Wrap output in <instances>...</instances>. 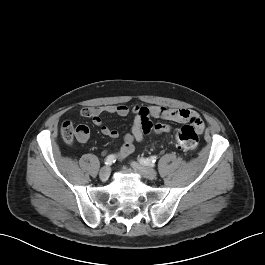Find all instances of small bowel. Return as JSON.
Here are the masks:
<instances>
[{"label": "small bowel", "mask_w": 265, "mask_h": 265, "mask_svg": "<svg viewBox=\"0 0 265 265\" xmlns=\"http://www.w3.org/2000/svg\"><path fill=\"white\" fill-rule=\"evenodd\" d=\"M106 113L110 115L127 116L134 115V123L129 132L124 136V142L116 153L118 159H124L131 155L134 150L135 142L143 141L144 137L154 132L156 134H165L170 132V127L167 124L153 125L151 119L162 118L165 120L175 122H190L198 131L202 132L205 124L199 114L188 108H165V107H139L135 106L130 109L126 105H107V106H94L85 107L81 109L80 114L82 117L90 118L92 122L101 128V132L112 139L118 137L117 130L103 125L101 116ZM76 138L78 142L85 143L89 139L90 130L88 126L80 124L76 127Z\"/></svg>", "instance_id": "obj_1"}]
</instances>
